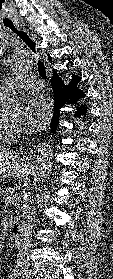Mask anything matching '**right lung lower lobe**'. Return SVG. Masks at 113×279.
I'll use <instances>...</instances> for the list:
<instances>
[{"instance_id":"1","label":"right lung lower lobe","mask_w":113,"mask_h":279,"mask_svg":"<svg viewBox=\"0 0 113 279\" xmlns=\"http://www.w3.org/2000/svg\"><path fill=\"white\" fill-rule=\"evenodd\" d=\"M80 81V77L73 75L70 84L66 87L63 84L61 78L58 77L57 74H54L50 80L53 92H54V112L53 117L50 123L51 131L54 133L56 127L59 123V109L67 102L75 103L81 97H84L83 91L77 88V83ZM87 109L85 105H81L76 111L75 116L80 117V115H86Z\"/></svg>"}]
</instances>
